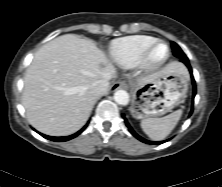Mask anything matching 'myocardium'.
Listing matches in <instances>:
<instances>
[{"label":"myocardium","mask_w":222,"mask_h":187,"mask_svg":"<svg viewBox=\"0 0 222 187\" xmlns=\"http://www.w3.org/2000/svg\"><path fill=\"white\" fill-rule=\"evenodd\" d=\"M159 45H164L166 48V52L162 57L156 58L154 54H155L156 48ZM169 56H170V47L168 43L163 40L156 39L142 53L138 67L140 70L144 72L155 71L159 69L160 67H162L167 62V60L169 59Z\"/></svg>","instance_id":"obj_1"}]
</instances>
